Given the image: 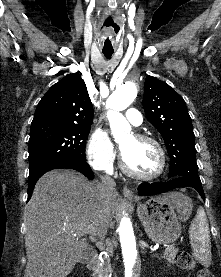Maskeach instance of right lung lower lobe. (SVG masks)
<instances>
[{"mask_svg": "<svg viewBox=\"0 0 221 277\" xmlns=\"http://www.w3.org/2000/svg\"><path fill=\"white\" fill-rule=\"evenodd\" d=\"M61 168L77 170V171L81 172L82 174H84L89 180H92L94 178L93 171L85 160L72 159V160H68L65 162H61L54 166L46 167V168L42 169L40 172H38L37 174H35L34 176H29L28 200L31 197V194L33 192L36 182L44 173H46L50 170H53V169H61Z\"/></svg>", "mask_w": 221, "mask_h": 277, "instance_id": "1", "label": "right lung lower lobe"}]
</instances>
